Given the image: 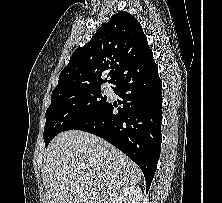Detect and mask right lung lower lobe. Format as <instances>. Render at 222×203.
Listing matches in <instances>:
<instances>
[{
	"label": "right lung lower lobe",
	"instance_id": "obj_1",
	"mask_svg": "<svg viewBox=\"0 0 222 203\" xmlns=\"http://www.w3.org/2000/svg\"><path fill=\"white\" fill-rule=\"evenodd\" d=\"M120 97L117 107L106 101L67 130L95 134L116 146L143 171L147 190L155 174L161 150V80L154 60L128 71L114 83ZM117 107V110L115 109Z\"/></svg>",
	"mask_w": 222,
	"mask_h": 203
}]
</instances>
